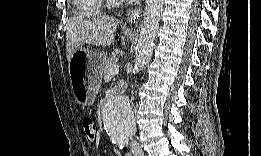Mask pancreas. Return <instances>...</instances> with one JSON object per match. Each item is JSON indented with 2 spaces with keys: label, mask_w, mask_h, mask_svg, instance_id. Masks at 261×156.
I'll return each mask as SVG.
<instances>
[{
  "label": "pancreas",
  "mask_w": 261,
  "mask_h": 156,
  "mask_svg": "<svg viewBox=\"0 0 261 156\" xmlns=\"http://www.w3.org/2000/svg\"><path fill=\"white\" fill-rule=\"evenodd\" d=\"M117 63H118V58L116 57V55H112L110 58L106 59L101 69L102 74L108 75L110 68L113 65H116Z\"/></svg>",
  "instance_id": "obj_1"
}]
</instances>
